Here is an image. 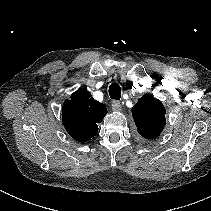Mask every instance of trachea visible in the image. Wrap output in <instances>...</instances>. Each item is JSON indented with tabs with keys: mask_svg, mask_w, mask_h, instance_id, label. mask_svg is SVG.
I'll return each instance as SVG.
<instances>
[{
	"mask_svg": "<svg viewBox=\"0 0 211 211\" xmlns=\"http://www.w3.org/2000/svg\"><path fill=\"white\" fill-rule=\"evenodd\" d=\"M109 95L111 99L119 100L121 97V88L117 83H113L109 86Z\"/></svg>",
	"mask_w": 211,
	"mask_h": 211,
	"instance_id": "trachea-1",
	"label": "trachea"
}]
</instances>
